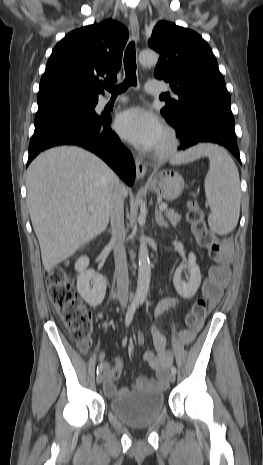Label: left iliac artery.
Wrapping results in <instances>:
<instances>
[{
    "mask_svg": "<svg viewBox=\"0 0 263 465\" xmlns=\"http://www.w3.org/2000/svg\"><path fill=\"white\" fill-rule=\"evenodd\" d=\"M171 371H172V373H175V374H176V372H177L176 367H175V366H172Z\"/></svg>",
    "mask_w": 263,
    "mask_h": 465,
    "instance_id": "1",
    "label": "left iliac artery"
}]
</instances>
